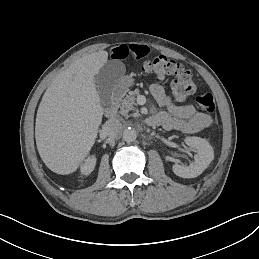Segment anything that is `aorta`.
<instances>
[{
  "instance_id": "aorta-1",
  "label": "aorta",
  "mask_w": 259,
  "mask_h": 259,
  "mask_svg": "<svg viewBox=\"0 0 259 259\" xmlns=\"http://www.w3.org/2000/svg\"><path fill=\"white\" fill-rule=\"evenodd\" d=\"M136 138H137V132L133 128L129 127L123 131L124 141L131 143V142H134Z\"/></svg>"
}]
</instances>
